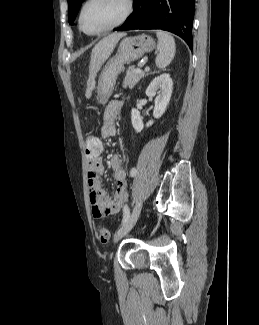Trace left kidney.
I'll use <instances>...</instances> for the list:
<instances>
[{
  "mask_svg": "<svg viewBox=\"0 0 259 325\" xmlns=\"http://www.w3.org/2000/svg\"><path fill=\"white\" fill-rule=\"evenodd\" d=\"M172 89H173V82L169 74H162L156 77L147 87L145 93L148 97H154L157 94L155 98V107L153 110L154 118L158 119L165 113L166 108L171 99ZM131 121H132V126L137 133L143 130L144 128L143 118L141 117L140 112L137 109H132ZM152 124H153V120H150L149 122L146 123V127H149Z\"/></svg>",
  "mask_w": 259,
  "mask_h": 325,
  "instance_id": "left-kidney-1",
  "label": "left kidney"
}]
</instances>
